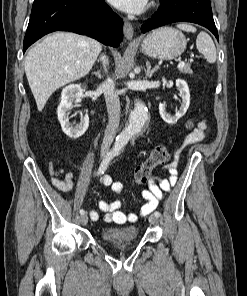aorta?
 I'll list each match as a JSON object with an SVG mask.
<instances>
[{
    "label": "aorta",
    "mask_w": 247,
    "mask_h": 296,
    "mask_svg": "<svg viewBox=\"0 0 247 296\" xmlns=\"http://www.w3.org/2000/svg\"><path fill=\"white\" fill-rule=\"evenodd\" d=\"M148 119V110L144 103L136 101L125 129L118 135L115 142L117 149H122L132 136L139 134Z\"/></svg>",
    "instance_id": "1"
}]
</instances>
